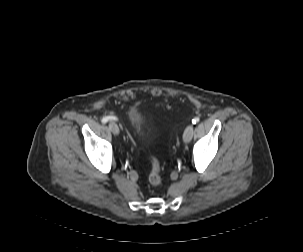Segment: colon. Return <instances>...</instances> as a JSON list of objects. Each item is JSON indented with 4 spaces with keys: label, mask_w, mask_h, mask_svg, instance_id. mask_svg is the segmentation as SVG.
I'll return each instance as SVG.
<instances>
[{
    "label": "colon",
    "mask_w": 303,
    "mask_h": 252,
    "mask_svg": "<svg viewBox=\"0 0 303 252\" xmlns=\"http://www.w3.org/2000/svg\"><path fill=\"white\" fill-rule=\"evenodd\" d=\"M151 170L149 174V181L152 185L158 186L161 184V177H160V164L157 158L151 156Z\"/></svg>",
    "instance_id": "1"
}]
</instances>
